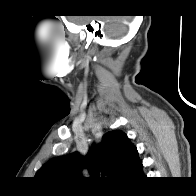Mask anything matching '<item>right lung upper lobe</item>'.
I'll use <instances>...</instances> for the list:
<instances>
[{
  "label": "right lung upper lobe",
  "mask_w": 196,
  "mask_h": 196,
  "mask_svg": "<svg viewBox=\"0 0 196 196\" xmlns=\"http://www.w3.org/2000/svg\"><path fill=\"white\" fill-rule=\"evenodd\" d=\"M84 167L94 178L106 177L119 182H134L144 175L136 147L124 132L114 130L103 135L101 143L93 146L86 156L74 152L53 158L35 177L48 185H63L82 178Z\"/></svg>",
  "instance_id": "1"
}]
</instances>
